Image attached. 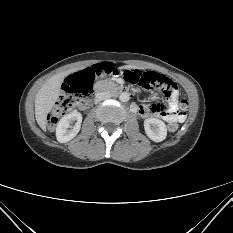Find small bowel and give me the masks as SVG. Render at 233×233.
Here are the masks:
<instances>
[{
  "mask_svg": "<svg viewBox=\"0 0 233 233\" xmlns=\"http://www.w3.org/2000/svg\"><path fill=\"white\" fill-rule=\"evenodd\" d=\"M174 87L165 91L170 98V103L166 106L143 104L140 106L139 111L143 118L158 117L167 123L182 122L185 119L184 113L180 112L178 106L179 93L175 83Z\"/></svg>",
  "mask_w": 233,
  "mask_h": 233,
  "instance_id": "small-bowel-1",
  "label": "small bowel"
}]
</instances>
